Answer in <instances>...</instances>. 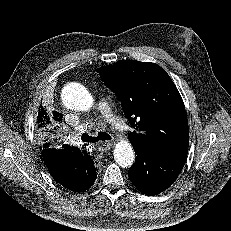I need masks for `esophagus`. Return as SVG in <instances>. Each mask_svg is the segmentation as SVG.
<instances>
[{
  "label": "esophagus",
  "instance_id": "1",
  "mask_svg": "<svg viewBox=\"0 0 231 231\" xmlns=\"http://www.w3.org/2000/svg\"><path fill=\"white\" fill-rule=\"evenodd\" d=\"M111 147H112V142L109 141L101 142L98 145V149L102 153L108 152L111 149Z\"/></svg>",
  "mask_w": 231,
  "mask_h": 231
}]
</instances>
